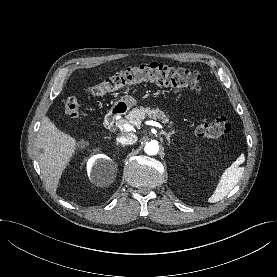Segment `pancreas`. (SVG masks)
Segmentation results:
<instances>
[{"instance_id": "1", "label": "pancreas", "mask_w": 277, "mask_h": 277, "mask_svg": "<svg viewBox=\"0 0 277 277\" xmlns=\"http://www.w3.org/2000/svg\"><path fill=\"white\" fill-rule=\"evenodd\" d=\"M148 116L152 119H158L162 123H172L168 116L159 109H151L150 107H140V108H134L132 111H130L126 116L125 120H120L118 122L119 125H123L124 123H132L136 126H140L142 121L145 119V117Z\"/></svg>"}]
</instances>
